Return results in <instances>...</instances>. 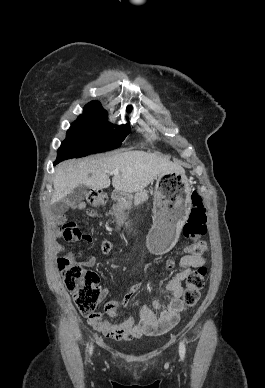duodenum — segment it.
I'll return each instance as SVG.
<instances>
[{
    "label": "duodenum",
    "instance_id": "obj_1",
    "mask_svg": "<svg viewBox=\"0 0 265 388\" xmlns=\"http://www.w3.org/2000/svg\"><path fill=\"white\" fill-rule=\"evenodd\" d=\"M113 199L118 202V203H121V202H124L126 200V195L123 194V193H120V192H115L113 194Z\"/></svg>",
    "mask_w": 265,
    "mask_h": 388
}]
</instances>
